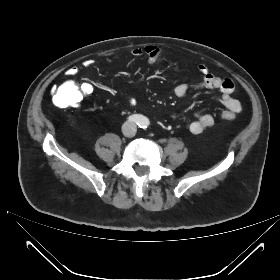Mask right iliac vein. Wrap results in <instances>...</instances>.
<instances>
[{
    "label": "right iliac vein",
    "mask_w": 280,
    "mask_h": 280,
    "mask_svg": "<svg viewBox=\"0 0 280 280\" xmlns=\"http://www.w3.org/2000/svg\"><path fill=\"white\" fill-rule=\"evenodd\" d=\"M127 130H128L127 127H125V128H124V133H125V134L127 133Z\"/></svg>",
    "instance_id": "1"
}]
</instances>
